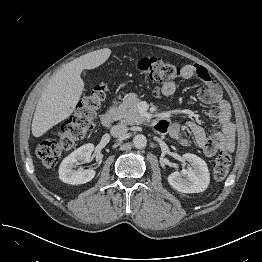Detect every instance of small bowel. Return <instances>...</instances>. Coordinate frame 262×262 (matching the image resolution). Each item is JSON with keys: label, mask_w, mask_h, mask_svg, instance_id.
Listing matches in <instances>:
<instances>
[{"label": "small bowel", "mask_w": 262, "mask_h": 262, "mask_svg": "<svg viewBox=\"0 0 262 262\" xmlns=\"http://www.w3.org/2000/svg\"><path fill=\"white\" fill-rule=\"evenodd\" d=\"M197 76L204 83L199 91V98L213 108L209 117L220 123V129L212 133H207L204 128L194 121H187L185 125L189 128L193 139L189 140L182 134V124L178 121H171L166 115L157 119L156 130L168 134L171 139L180 144L190 147L196 146L203 150L204 154L212 157L219 151H232L234 149V125L230 119V104L223 97L219 85L212 79L206 68L196 64H186L181 67V77L189 79ZM176 89L175 82H169L162 86L161 93L163 96H169Z\"/></svg>", "instance_id": "obj_1"}]
</instances>
